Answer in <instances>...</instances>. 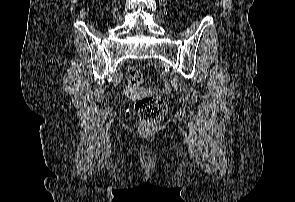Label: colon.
Returning <instances> with one entry per match:
<instances>
[{"label":"colon","mask_w":295,"mask_h":202,"mask_svg":"<svg viewBox=\"0 0 295 202\" xmlns=\"http://www.w3.org/2000/svg\"><path fill=\"white\" fill-rule=\"evenodd\" d=\"M128 82L131 85H142L143 74L138 67H129L126 73ZM135 109L141 122L140 132L150 133L166 112V103L160 96L153 98H139L135 103Z\"/></svg>","instance_id":"colon-1"}]
</instances>
